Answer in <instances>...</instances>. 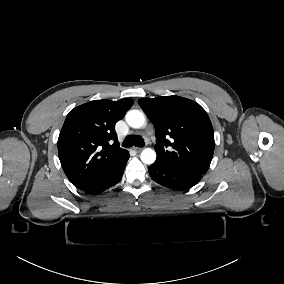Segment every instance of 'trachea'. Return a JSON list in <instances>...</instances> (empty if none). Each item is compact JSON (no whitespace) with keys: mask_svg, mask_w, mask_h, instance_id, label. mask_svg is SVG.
<instances>
[{"mask_svg":"<svg viewBox=\"0 0 284 284\" xmlns=\"http://www.w3.org/2000/svg\"><path fill=\"white\" fill-rule=\"evenodd\" d=\"M124 147H143L144 146V140L141 136L138 135H128L122 144Z\"/></svg>","mask_w":284,"mask_h":284,"instance_id":"obj_1","label":"trachea"}]
</instances>
